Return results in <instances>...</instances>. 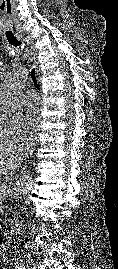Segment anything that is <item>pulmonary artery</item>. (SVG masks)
Returning <instances> with one entry per match:
<instances>
[{"mask_svg": "<svg viewBox=\"0 0 118 269\" xmlns=\"http://www.w3.org/2000/svg\"><path fill=\"white\" fill-rule=\"evenodd\" d=\"M39 101L38 96L32 91H27L23 96V104L27 106H32L37 104Z\"/></svg>", "mask_w": 118, "mask_h": 269, "instance_id": "pulmonary-artery-1", "label": "pulmonary artery"}]
</instances>
